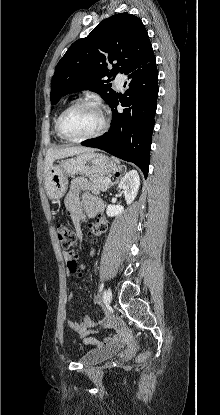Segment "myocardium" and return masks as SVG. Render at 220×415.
<instances>
[{
  "instance_id": "f54148a6",
  "label": "myocardium",
  "mask_w": 220,
  "mask_h": 415,
  "mask_svg": "<svg viewBox=\"0 0 220 415\" xmlns=\"http://www.w3.org/2000/svg\"><path fill=\"white\" fill-rule=\"evenodd\" d=\"M82 106H93V107H95L99 111V113L101 115V118H102L101 126H100V128L95 133L90 134V135H87V136H84V137H80V138H70V137H67L63 133V131H62V122H63V119L65 118V116L68 113H70L71 111H73V110H75V109H77L79 107H82ZM108 125H109L108 117H107V114H106L105 109L102 106V104L99 101L94 100V99H82V100H79V101L73 103L69 107H67L59 115V117L57 119V122H56V127L55 128H56V132H57L58 136L61 139L65 140L67 142L78 143V142H83V141H87V140H91V139H95V138L100 137L101 135H103L106 132V130L108 128Z\"/></svg>"
}]
</instances>
